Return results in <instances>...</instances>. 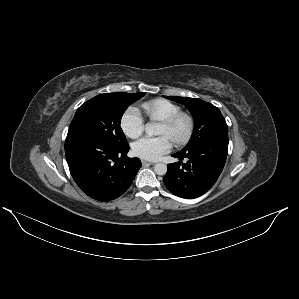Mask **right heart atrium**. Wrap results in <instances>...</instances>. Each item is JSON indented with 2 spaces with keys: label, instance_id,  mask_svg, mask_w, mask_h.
I'll return each mask as SVG.
<instances>
[{
  "label": "right heart atrium",
  "instance_id": "1",
  "mask_svg": "<svg viewBox=\"0 0 299 299\" xmlns=\"http://www.w3.org/2000/svg\"><path fill=\"white\" fill-rule=\"evenodd\" d=\"M121 127L124 133L130 138L140 136L144 130V121L140 110L137 107H130L121 119Z\"/></svg>",
  "mask_w": 299,
  "mask_h": 299
}]
</instances>
